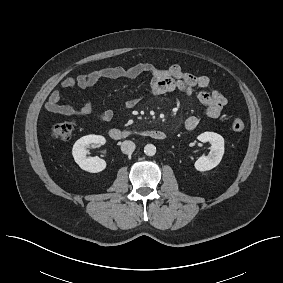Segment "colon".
Instances as JSON below:
<instances>
[{
  "label": "colon",
  "instance_id": "1",
  "mask_svg": "<svg viewBox=\"0 0 283 283\" xmlns=\"http://www.w3.org/2000/svg\"><path fill=\"white\" fill-rule=\"evenodd\" d=\"M245 123L241 119H234L232 122V129L234 131H242ZM74 131V122L72 120H65L53 125L51 129L52 136L57 140H68L71 138Z\"/></svg>",
  "mask_w": 283,
  "mask_h": 283
}]
</instances>
